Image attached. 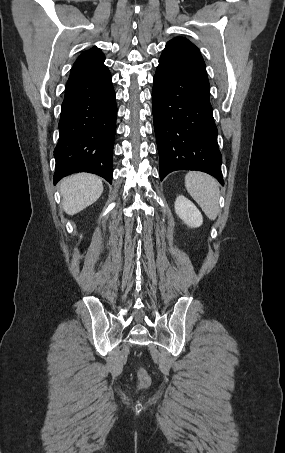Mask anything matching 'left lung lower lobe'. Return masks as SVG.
Wrapping results in <instances>:
<instances>
[{"instance_id": "left-lung-lower-lobe-1", "label": "left lung lower lobe", "mask_w": 285, "mask_h": 453, "mask_svg": "<svg viewBox=\"0 0 285 453\" xmlns=\"http://www.w3.org/2000/svg\"><path fill=\"white\" fill-rule=\"evenodd\" d=\"M152 111L160 180L172 171L198 170L224 185L210 85L200 55L166 45L154 76Z\"/></svg>"}]
</instances>
